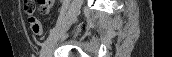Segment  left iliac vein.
<instances>
[{"mask_svg":"<svg viewBox=\"0 0 172 57\" xmlns=\"http://www.w3.org/2000/svg\"><path fill=\"white\" fill-rule=\"evenodd\" d=\"M82 6L81 0H74L68 10L67 15L63 19V21L55 26L50 35L45 40L42 51H41V57H50L52 50L59 40V38L67 31V29L71 26L75 18L77 17L80 9Z\"/></svg>","mask_w":172,"mask_h":57,"instance_id":"obj_1","label":"left iliac vein"}]
</instances>
